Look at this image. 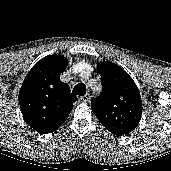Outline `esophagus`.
I'll use <instances>...</instances> for the list:
<instances>
[{
    "instance_id": "obj_1",
    "label": "esophagus",
    "mask_w": 171,
    "mask_h": 171,
    "mask_svg": "<svg viewBox=\"0 0 171 171\" xmlns=\"http://www.w3.org/2000/svg\"><path fill=\"white\" fill-rule=\"evenodd\" d=\"M90 99H91V96H90V95L81 96V97L79 98V100H80L81 102H89Z\"/></svg>"
}]
</instances>
